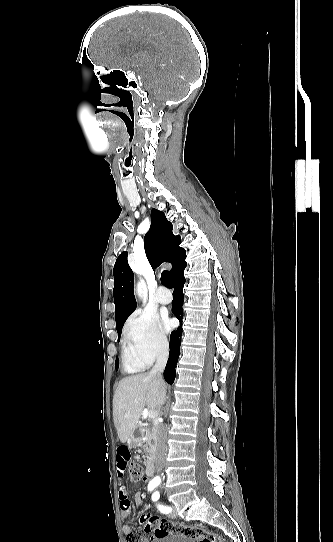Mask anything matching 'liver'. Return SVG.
I'll return each mask as SVG.
<instances>
[{
	"label": "liver",
	"mask_w": 333,
	"mask_h": 542,
	"mask_svg": "<svg viewBox=\"0 0 333 542\" xmlns=\"http://www.w3.org/2000/svg\"><path fill=\"white\" fill-rule=\"evenodd\" d=\"M163 390L164 380L149 376V372L120 380L114 394L113 420L121 444L133 436L145 406L156 410L158 416V398Z\"/></svg>",
	"instance_id": "obj_1"
}]
</instances>
